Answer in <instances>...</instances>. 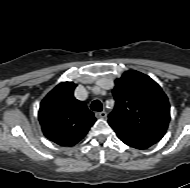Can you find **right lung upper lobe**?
I'll return each mask as SVG.
<instances>
[{"instance_id":"right-lung-upper-lobe-1","label":"right lung upper lobe","mask_w":190,"mask_h":188,"mask_svg":"<svg viewBox=\"0 0 190 188\" xmlns=\"http://www.w3.org/2000/svg\"><path fill=\"white\" fill-rule=\"evenodd\" d=\"M77 85L62 82L42 100L38 118L44 135L60 146L78 143L95 123L86 104L73 96Z\"/></svg>"}]
</instances>
